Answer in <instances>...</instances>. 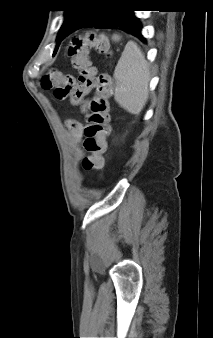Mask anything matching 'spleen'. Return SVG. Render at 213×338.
<instances>
[{
    "instance_id": "1",
    "label": "spleen",
    "mask_w": 213,
    "mask_h": 338,
    "mask_svg": "<svg viewBox=\"0 0 213 338\" xmlns=\"http://www.w3.org/2000/svg\"><path fill=\"white\" fill-rule=\"evenodd\" d=\"M115 101L131 114H139L149 97L150 72L140 47L129 41L114 70Z\"/></svg>"
}]
</instances>
